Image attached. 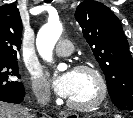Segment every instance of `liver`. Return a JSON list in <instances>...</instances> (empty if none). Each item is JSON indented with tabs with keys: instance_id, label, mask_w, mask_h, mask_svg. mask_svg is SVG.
Masks as SVG:
<instances>
[{
	"instance_id": "obj_1",
	"label": "liver",
	"mask_w": 133,
	"mask_h": 118,
	"mask_svg": "<svg viewBox=\"0 0 133 118\" xmlns=\"http://www.w3.org/2000/svg\"><path fill=\"white\" fill-rule=\"evenodd\" d=\"M0 118H30V114L24 106L0 102Z\"/></svg>"
}]
</instances>
